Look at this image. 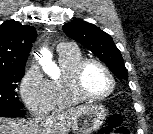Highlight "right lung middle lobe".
Returning a JSON list of instances; mask_svg holds the SVG:
<instances>
[{
  "instance_id": "dd1d6c3e",
  "label": "right lung middle lobe",
  "mask_w": 153,
  "mask_h": 134,
  "mask_svg": "<svg viewBox=\"0 0 153 134\" xmlns=\"http://www.w3.org/2000/svg\"><path fill=\"white\" fill-rule=\"evenodd\" d=\"M25 69H3L0 70V109H18L23 105L20 103L16 88L17 83L24 76Z\"/></svg>"
}]
</instances>
